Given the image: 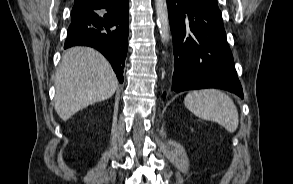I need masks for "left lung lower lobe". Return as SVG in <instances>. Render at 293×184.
<instances>
[{"instance_id":"1","label":"left lung lower lobe","mask_w":293,"mask_h":184,"mask_svg":"<svg viewBox=\"0 0 293 184\" xmlns=\"http://www.w3.org/2000/svg\"><path fill=\"white\" fill-rule=\"evenodd\" d=\"M167 7L175 65L172 90L220 88L243 98L217 0H167Z\"/></svg>"}]
</instances>
